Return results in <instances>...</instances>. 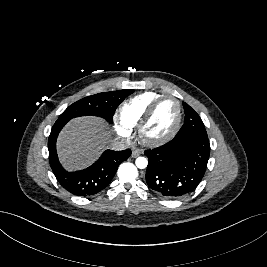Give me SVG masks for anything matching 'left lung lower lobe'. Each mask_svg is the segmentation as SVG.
<instances>
[{
	"mask_svg": "<svg viewBox=\"0 0 267 267\" xmlns=\"http://www.w3.org/2000/svg\"><path fill=\"white\" fill-rule=\"evenodd\" d=\"M146 182L156 193L167 198L190 194L201 182L210 155L208 136L191 134L146 150Z\"/></svg>",
	"mask_w": 267,
	"mask_h": 267,
	"instance_id": "1",
	"label": "left lung lower lobe"
}]
</instances>
